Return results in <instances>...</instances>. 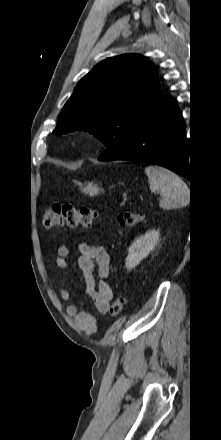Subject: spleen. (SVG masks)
Listing matches in <instances>:
<instances>
[{"label": "spleen", "mask_w": 221, "mask_h": 440, "mask_svg": "<svg viewBox=\"0 0 221 440\" xmlns=\"http://www.w3.org/2000/svg\"><path fill=\"white\" fill-rule=\"evenodd\" d=\"M145 174L151 192L159 193L162 197L159 204L161 208L175 209L187 205L189 188L178 175L159 166L146 167Z\"/></svg>", "instance_id": "1"}]
</instances>
